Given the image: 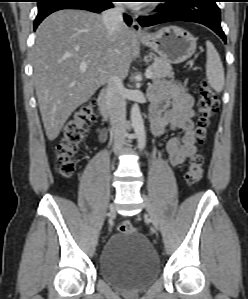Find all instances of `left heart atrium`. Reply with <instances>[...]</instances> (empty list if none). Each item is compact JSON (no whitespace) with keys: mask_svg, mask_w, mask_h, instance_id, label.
I'll use <instances>...</instances> for the list:
<instances>
[{"mask_svg":"<svg viewBox=\"0 0 248 299\" xmlns=\"http://www.w3.org/2000/svg\"><path fill=\"white\" fill-rule=\"evenodd\" d=\"M139 1H144V0H137V1H131V5L132 6H142V4H144L145 2H139Z\"/></svg>","mask_w":248,"mask_h":299,"instance_id":"1","label":"left heart atrium"}]
</instances>
